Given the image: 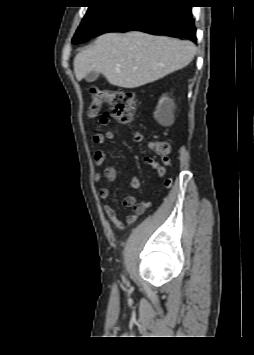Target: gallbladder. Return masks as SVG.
<instances>
[{
    "label": "gallbladder",
    "instance_id": "1",
    "mask_svg": "<svg viewBox=\"0 0 254 355\" xmlns=\"http://www.w3.org/2000/svg\"><path fill=\"white\" fill-rule=\"evenodd\" d=\"M97 77H98V73L95 71H91L85 76V80L91 83L94 82L97 79Z\"/></svg>",
    "mask_w": 254,
    "mask_h": 355
}]
</instances>
